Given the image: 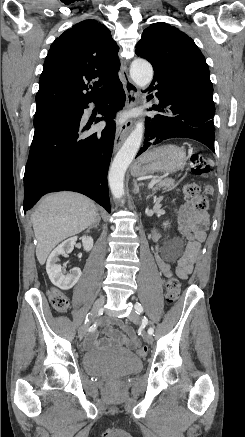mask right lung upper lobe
Returning <instances> with one entry per match:
<instances>
[{
    "label": "right lung upper lobe",
    "instance_id": "cb5924a9",
    "mask_svg": "<svg viewBox=\"0 0 245 437\" xmlns=\"http://www.w3.org/2000/svg\"><path fill=\"white\" fill-rule=\"evenodd\" d=\"M118 50L110 30L96 20H85L66 30L48 51L36 110L81 104L100 96L120 81ZM90 84L94 89L85 93L92 88Z\"/></svg>",
    "mask_w": 245,
    "mask_h": 437
}]
</instances>
